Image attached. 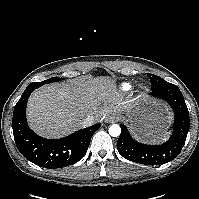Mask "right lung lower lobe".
Masks as SVG:
<instances>
[{
	"label": "right lung lower lobe",
	"instance_id": "obj_1",
	"mask_svg": "<svg viewBox=\"0 0 199 199\" xmlns=\"http://www.w3.org/2000/svg\"><path fill=\"white\" fill-rule=\"evenodd\" d=\"M35 89L28 86L14 108L12 128L17 148L32 163L49 169L78 162L87 152L91 137L101 124L81 129L57 140L39 137L26 122V104Z\"/></svg>",
	"mask_w": 199,
	"mask_h": 199
}]
</instances>
